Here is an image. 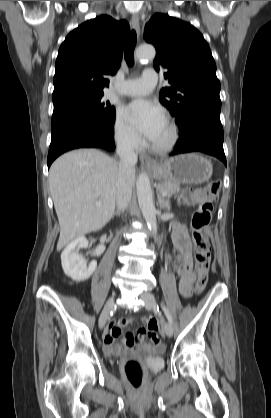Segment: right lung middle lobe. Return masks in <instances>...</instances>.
<instances>
[{"label": "right lung middle lobe", "mask_w": 271, "mask_h": 418, "mask_svg": "<svg viewBox=\"0 0 271 418\" xmlns=\"http://www.w3.org/2000/svg\"><path fill=\"white\" fill-rule=\"evenodd\" d=\"M103 92L76 94L53 101L52 128L85 119L115 120V108L103 99Z\"/></svg>", "instance_id": "right-lung-middle-lobe-1"}]
</instances>
